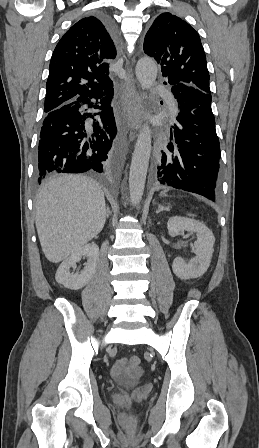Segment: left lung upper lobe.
Returning a JSON list of instances; mask_svg holds the SVG:
<instances>
[{
  "instance_id": "left-lung-upper-lobe-1",
  "label": "left lung upper lobe",
  "mask_w": 259,
  "mask_h": 448,
  "mask_svg": "<svg viewBox=\"0 0 259 448\" xmlns=\"http://www.w3.org/2000/svg\"><path fill=\"white\" fill-rule=\"evenodd\" d=\"M144 52L161 64L170 85L182 82L211 94L201 39L181 18L169 12L160 14L145 36Z\"/></svg>"
}]
</instances>
